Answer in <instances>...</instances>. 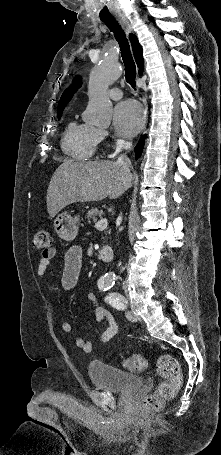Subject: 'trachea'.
Returning <instances> with one entry per match:
<instances>
[{
  "label": "trachea",
  "instance_id": "trachea-1",
  "mask_svg": "<svg viewBox=\"0 0 221 455\" xmlns=\"http://www.w3.org/2000/svg\"><path fill=\"white\" fill-rule=\"evenodd\" d=\"M101 20L114 33V36L119 43L122 59L125 65V78L127 83L134 88L136 85V66L126 35L114 18H102Z\"/></svg>",
  "mask_w": 221,
  "mask_h": 455
}]
</instances>
